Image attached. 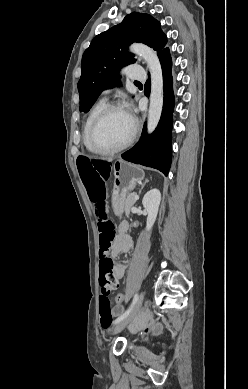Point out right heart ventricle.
<instances>
[{
	"label": "right heart ventricle",
	"mask_w": 248,
	"mask_h": 389,
	"mask_svg": "<svg viewBox=\"0 0 248 389\" xmlns=\"http://www.w3.org/2000/svg\"><path fill=\"white\" fill-rule=\"evenodd\" d=\"M106 100L105 99H100L98 100L94 105L93 107L91 108V110L89 111L86 119H85V122H84V125H83V143L85 145V147L89 150V151H92V148H91V145L89 143V130H90V127H91V124L94 120V118L96 117V115L100 112V110L106 105Z\"/></svg>",
	"instance_id": "e07e8e85"
}]
</instances>
